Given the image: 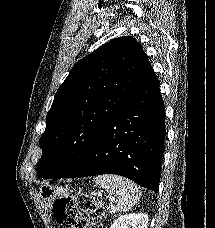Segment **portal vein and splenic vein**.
<instances>
[{
  "label": "portal vein and splenic vein",
  "instance_id": "18ae733b",
  "mask_svg": "<svg viewBox=\"0 0 215 228\" xmlns=\"http://www.w3.org/2000/svg\"><path fill=\"white\" fill-rule=\"evenodd\" d=\"M109 210H110L111 214H114V212H116V210H114V208H112V206H109Z\"/></svg>",
  "mask_w": 215,
  "mask_h": 228
}]
</instances>
